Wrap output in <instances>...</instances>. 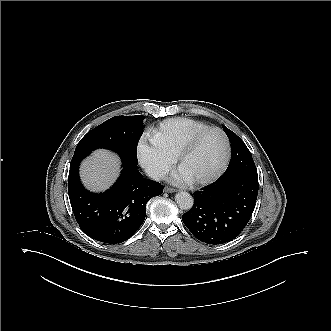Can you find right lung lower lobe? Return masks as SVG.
<instances>
[{
  "mask_svg": "<svg viewBox=\"0 0 331 331\" xmlns=\"http://www.w3.org/2000/svg\"><path fill=\"white\" fill-rule=\"evenodd\" d=\"M81 160L70 164L68 193L75 218L89 237L108 244L129 239L142 225L146 204L163 191V186L143 178L137 167L122 162L117 182L104 193L86 190L79 179Z\"/></svg>",
  "mask_w": 331,
  "mask_h": 331,
  "instance_id": "right-lung-lower-lobe-1",
  "label": "right lung lower lobe"
}]
</instances>
